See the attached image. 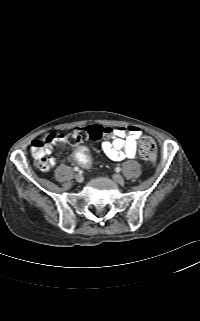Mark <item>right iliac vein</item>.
I'll use <instances>...</instances> for the list:
<instances>
[{
	"instance_id": "right-iliac-vein-1",
	"label": "right iliac vein",
	"mask_w": 200,
	"mask_h": 321,
	"mask_svg": "<svg viewBox=\"0 0 200 321\" xmlns=\"http://www.w3.org/2000/svg\"><path fill=\"white\" fill-rule=\"evenodd\" d=\"M75 179L77 182L81 183L83 181V176L78 173L75 175Z\"/></svg>"
}]
</instances>
